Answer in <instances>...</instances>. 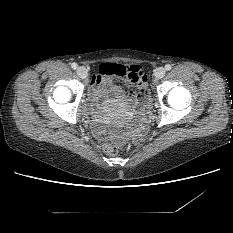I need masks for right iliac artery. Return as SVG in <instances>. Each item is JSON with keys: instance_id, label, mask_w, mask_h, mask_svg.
<instances>
[{"instance_id": "obj_1", "label": "right iliac artery", "mask_w": 233, "mask_h": 233, "mask_svg": "<svg viewBox=\"0 0 233 233\" xmlns=\"http://www.w3.org/2000/svg\"><path fill=\"white\" fill-rule=\"evenodd\" d=\"M77 66H78V65H77L76 63H72V64H71V67H72L73 69H76Z\"/></svg>"}]
</instances>
